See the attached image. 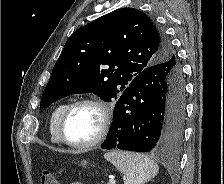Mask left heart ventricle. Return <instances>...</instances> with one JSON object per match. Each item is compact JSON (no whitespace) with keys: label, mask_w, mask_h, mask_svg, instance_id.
<instances>
[{"label":"left heart ventricle","mask_w":224,"mask_h":184,"mask_svg":"<svg viewBox=\"0 0 224 184\" xmlns=\"http://www.w3.org/2000/svg\"><path fill=\"white\" fill-rule=\"evenodd\" d=\"M101 123L99 110L91 105L76 107L69 115L66 125V137L73 143H86L98 133Z\"/></svg>","instance_id":"b2bd125f"}]
</instances>
